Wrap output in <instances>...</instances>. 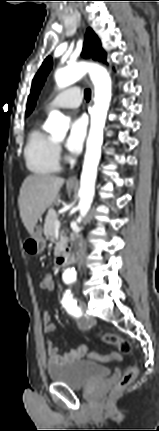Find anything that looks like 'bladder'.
<instances>
[{
	"label": "bladder",
	"instance_id": "1",
	"mask_svg": "<svg viewBox=\"0 0 159 431\" xmlns=\"http://www.w3.org/2000/svg\"><path fill=\"white\" fill-rule=\"evenodd\" d=\"M111 369L91 360H75L65 364H49L47 377L52 383L79 389L108 377Z\"/></svg>",
	"mask_w": 159,
	"mask_h": 431
}]
</instances>
